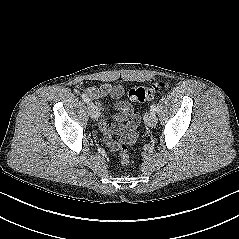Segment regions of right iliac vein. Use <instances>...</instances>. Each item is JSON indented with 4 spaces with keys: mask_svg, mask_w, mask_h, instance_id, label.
I'll use <instances>...</instances> for the list:
<instances>
[{
    "mask_svg": "<svg viewBox=\"0 0 239 239\" xmlns=\"http://www.w3.org/2000/svg\"><path fill=\"white\" fill-rule=\"evenodd\" d=\"M88 111H89L90 117L93 120H97L99 118L100 112H99L97 106L94 103H92V102L89 103Z\"/></svg>",
    "mask_w": 239,
    "mask_h": 239,
    "instance_id": "right-iliac-vein-1",
    "label": "right iliac vein"
}]
</instances>
